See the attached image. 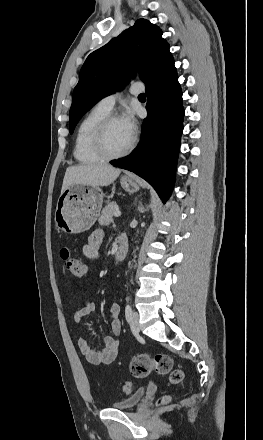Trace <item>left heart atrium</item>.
Masks as SVG:
<instances>
[{
	"mask_svg": "<svg viewBox=\"0 0 263 440\" xmlns=\"http://www.w3.org/2000/svg\"><path fill=\"white\" fill-rule=\"evenodd\" d=\"M125 131L132 138L136 131V124L133 117L130 114H125L120 119Z\"/></svg>",
	"mask_w": 263,
	"mask_h": 440,
	"instance_id": "1",
	"label": "left heart atrium"
}]
</instances>
